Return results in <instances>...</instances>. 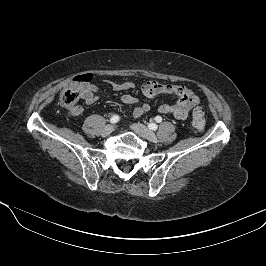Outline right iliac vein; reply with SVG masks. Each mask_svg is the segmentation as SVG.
<instances>
[{
    "instance_id": "63e3f726",
    "label": "right iliac vein",
    "mask_w": 266,
    "mask_h": 266,
    "mask_svg": "<svg viewBox=\"0 0 266 266\" xmlns=\"http://www.w3.org/2000/svg\"><path fill=\"white\" fill-rule=\"evenodd\" d=\"M114 131V126L113 125H107L105 126V128L103 129V135L107 136L109 134H111Z\"/></svg>"
}]
</instances>
